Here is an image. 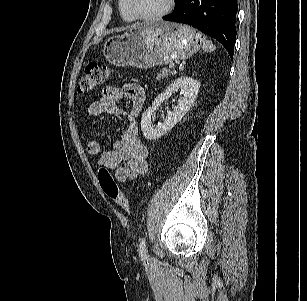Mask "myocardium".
Returning a JSON list of instances; mask_svg holds the SVG:
<instances>
[{
  "instance_id": "f54148a6",
  "label": "myocardium",
  "mask_w": 307,
  "mask_h": 301,
  "mask_svg": "<svg viewBox=\"0 0 307 301\" xmlns=\"http://www.w3.org/2000/svg\"><path fill=\"white\" fill-rule=\"evenodd\" d=\"M126 1H127V6L132 15L134 16V18L141 21H154L167 16L174 9L176 2V0H168L167 6L162 11L151 15H143L139 13L138 10L135 8L132 0H126Z\"/></svg>"
}]
</instances>
